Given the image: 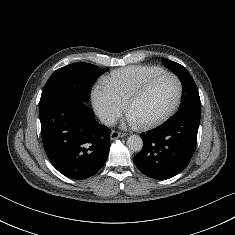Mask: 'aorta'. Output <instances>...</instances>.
I'll use <instances>...</instances> for the list:
<instances>
[{
	"mask_svg": "<svg viewBox=\"0 0 235 235\" xmlns=\"http://www.w3.org/2000/svg\"><path fill=\"white\" fill-rule=\"evenodd\" d=\"M127 146L133 152H139L143 148V140L138 135H130L127 139Z\"/></svg>",
	"mask_w": 235,
	"mask_h": 235,
	"instance_id": "aorta-1",
	"label": "aorta"
}]
</instances>
